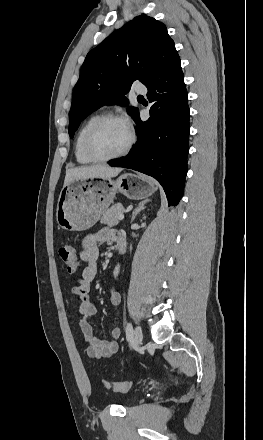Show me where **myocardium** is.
Returning a JSON list of instances; mask_svg holds the SVG:
<instances>
[{"label": "myocardium", "mask_w": 263, "mask_h": 440, "mask_svg": "<svg viewBox=\"0 0 263 440\" xmlns=\"http://www.w3.org/2000/svg\"><path fill=\"white\" fill-rule=\"evenodd\" d=\"M109 121H117L122 123L127 130L128 138L126 144L118 152L110 155H102L96 151L94 147V139L98 129L103 124ZM134 143H135V134L129 121L122 115L109 113V114L101 115L91 124L84 139V150L87 156L90 157L92 160L98 162H105L125 156L131 150Z\"/></svg>", "instance_id": "obj_1"}]
</instances>
